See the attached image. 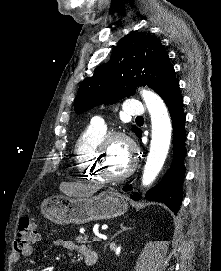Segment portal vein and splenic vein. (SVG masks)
Instances as JSON below:
<instances>
[{
	"label": "portal vein and splenic vein",
	"mask_w": 221,
	"mask_h": 271,
	"mask_svg": "<svg viewBox=\"0 0 221 271\" xmlns=\"http://www.w3.org/2000/svg\"><path fill=\"white\" fill-rule=\"evenodd\" d=\"M92 242H102V237H92Z\"/></svg>",
	"instance_id": "obj_1"
}]
</instances>
